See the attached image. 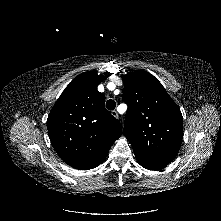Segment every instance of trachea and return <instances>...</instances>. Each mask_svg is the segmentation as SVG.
Returning <instances> with one entry per match:
<instances>
[{
  "label": "trachea",
  "mask_w": 221,
  "mask_h": 221,
  "mask_svg": "<svg viewBox=\"0 0 221 221\" xmlns=\"http://www.w3.org/2000/svg\"><path fill=\"white\" fill-rule=\"evenodd\" d=\"M106 107L108 110H114L116 107V102L112 99L107 100Z\"/></svg>",
  "instance_id": "obj_1"
}]
</instances>
